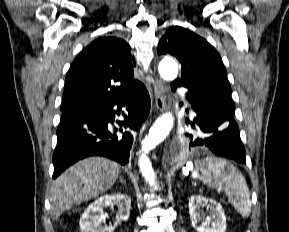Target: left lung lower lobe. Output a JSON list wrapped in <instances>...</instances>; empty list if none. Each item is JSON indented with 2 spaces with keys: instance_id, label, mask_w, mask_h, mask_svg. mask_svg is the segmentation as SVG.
<instances>
[{
  "instance_id": "left-lung-lower-lobe-1",
  "label": "left lung lower lobe",
  "mask_w": 289,
  "mask_h": 232,
  "mask_svg": "<svg viewBox=\"0 0 289 232\" xmlns=\"http://www.w3.org/2000/svg\"><path fill=\"white\" fill-rule=\"evenodd\" d=\"M178 86L174 82L171 84L173 91ZM186 98L197 116L191 123L195 132L185 133L187 143L182 149L212 153L245 164V149L234 120V107L200 93L188 92Z\"/></svg>"
}]
</instances>
